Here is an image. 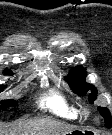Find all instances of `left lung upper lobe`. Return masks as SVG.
<instances>
[{
    "instance_id": "left-lung-upper-lobe-1",
    "label": "left lung upper lobe",
    "mask_w": 112,
    "mask_h": 135,
    "mask_svg": "<svg viewBox=\"0 0 112 135\" xmlns=\"http://www.w3.org/2000/svg\"><path fill=\"white\" fill-rule=\"evenodd\" d=\"M86 71L82 67H75L71 70L68 76H66V80L71 85V88L74 92L78 93L79 95H85L88 90H91L89 94V101L93 103L96 99L97 90L96 88L87 83L85 81ZM101 115L105 118V125L106 127L112 126V118L109 113V110L103 107H98Z\"/></svg>"
}]
</instances>
